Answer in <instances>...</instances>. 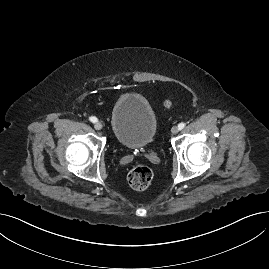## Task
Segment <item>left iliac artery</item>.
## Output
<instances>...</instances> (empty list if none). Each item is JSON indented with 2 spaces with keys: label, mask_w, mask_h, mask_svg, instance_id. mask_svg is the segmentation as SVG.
<instances>
[{
  "label": "left iliac artery",
  "mask_w": 269,
  "mask_h": 269,
  "mask_svg": "<svg viewBox=\"0 0 269 269\" xmlns=\"http://www.w3.org/2000/svg\"><path fill=\"white\" fill-rule=\"evenodd\" d=\"M185 127V123H180L178 124L179 130H182Z\"/></svg>",
  "instance_id": "1"
}]
</instances>
